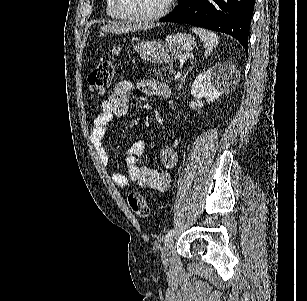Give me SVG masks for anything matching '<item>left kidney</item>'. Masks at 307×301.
Returning a JSON list of instances; mask_svg holds the SVG:
<instances>
[{
	"label": "left kidney",
	"instance_id": "1",
	"mask_svg": "<svg viewBox=\"0 0 307 301\" xmlns=\"http://www.w3.org/2000/svg\"><path fill=\"white\" fill-rule=\"evenodd\" d=\"M239 70L232 62H218L212 68L198 74L191 86L193 96H205L211 102H215L221 94L231 90L237 82Z\"/></svg>",
	"mask_w": 307,
	"mask_h": 301
}]
</instances>
